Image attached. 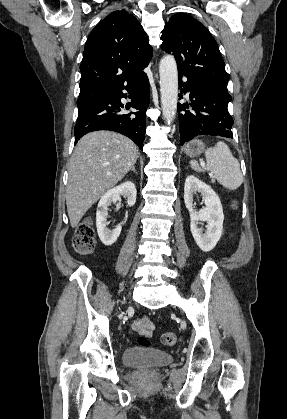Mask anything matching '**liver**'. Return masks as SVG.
I'll return each mask as SVG.
<instances>
[{"label":"liver","instance_id":"liver-1","mask_svg":"<svg viewBox=\"0 0 287 419\" xmlns=\"http://www.w3.org/2000/svg\"><path fill=\"white\" fill-rule=\"evenodd\" d=\"M137 157L136 144L116 132H91L79 140L69 161L66 188L72 228L99 198L122 180Z\"/></svg>","mask_w":287,"mask_h":419}]
</instances>
